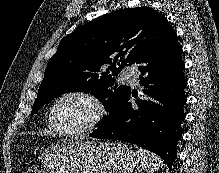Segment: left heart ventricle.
<instances>
[{
	"instance_id": "left-heart-ventricle-1",
	"label": "left heart ventricle",
	"mask_w": 219,
	"mask_h": 173,
	"mask_svg": "<svg viewBox=\"0 0 219 173\" xmlns=\"http://www.w3.org/2000/svg\"><path fill=\"white\" fill-rule=\"evenodd\" d=\"M93 113L92 105L85 99L69 97L57 105L54 116L60 129L73 131L84 126Z\"/></svg>"
}]
</instances>
